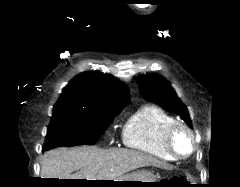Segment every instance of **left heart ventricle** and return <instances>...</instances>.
Returning a JSON list of instances; mask_svg holds the SVG:
<instances>
[{"label": "left heart ventricle", "mask_w": 240, "mask_h": 187, "mask_svg": "<svg viewBox=\"0 0 240 187\" xmlns=\"http://www.w3.org/2000/svg\"><path fill=\"white\" fill-rule=\"evenodd\" d=\"M178 146L181 150L185 151L187 150L188 146H187V140L184 137H180L178 139Z\"/></svg>", "instance_id": "1"}]
</instances>
